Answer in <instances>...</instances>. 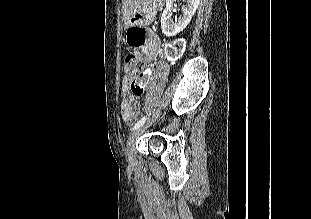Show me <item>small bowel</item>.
Instances as JSON below:
<instances>
[{
  "instance_id": "c3829d8e",
  "label": "small bowel",
  "mask_w": 311,
  "mask_h": 219,
  "mask_svg": "<svg viewBox=\"0 0 311 219\" xmlns=\"http://www.w3.org/2000/svg\"><path fill=\"white\" fill-rule=\"evenodd\" d=\"M132 36V28L128 31V39ZM134 47L142 46L144 49L145 62L151 63L157 56L160 41L155 35H150L147 41H144L139 45H133ZM128 77L122 79V100L120 104L121 116L124 121L132 122L136 119L140 113V103L137 97L129 91Z\"/></svg>"
}]
</instances>
